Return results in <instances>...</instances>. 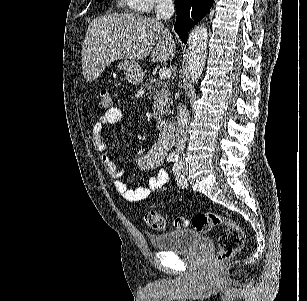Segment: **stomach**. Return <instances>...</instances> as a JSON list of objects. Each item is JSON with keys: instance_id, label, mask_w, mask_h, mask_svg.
<instances>
[{"instance_id": "0dacf381", "label": "stomach", "mask_w": 307, "mask_h": 301, "mask_svg": "<svg viewBox=\"0 0 307 301\" xmlns=\"http://www.w3.org/2000/svg\"><path fill=\"white\" fill-rule=\"evenodd\" d=\"M117 70H123L125 78L131 84H140L144 78L143 68L135 60H127V58L119 60Z\"/></svg>"}]
</instances>
